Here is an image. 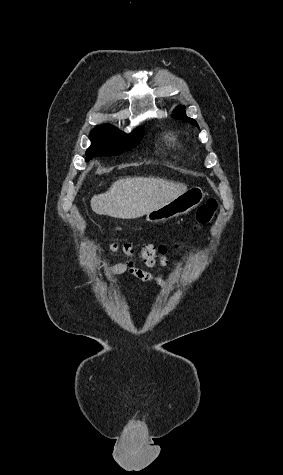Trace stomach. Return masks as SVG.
Masks as SVG:
<instances>
[{
  "label": "stomach",
  "instance_id": "0dacf381",
  "mask_svg": "<svg viewBox=\"0 0 283 475\" xmlns=\"http://www.w3.org/2000/svg\"><path fill=\"white\" fill-rule=\"evenodd\" d=\"M204 196L202 188H190L185 194L178 196L172 202H168V204H164L158 210H153V212L146 214V220L147 222L158 224V222H167L170 218H176V216H181V214H187V212L201 204Z\"/></svg>",
  "mask_w": 283,
  "mask_h": 475
}]
</instances>
